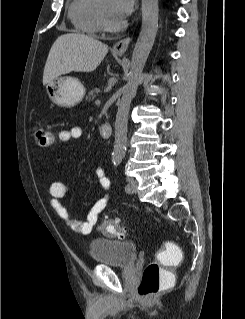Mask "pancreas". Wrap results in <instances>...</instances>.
Segmentation results:
<instances>
[{"label": "pancreas", "mask_w": 245, "mask_h": 319, "mask_svg": "<svg viewBox=\"0 0 245 319\" xmlns=\"http://www.w3.org/2000/svg\"><path fill=\"white\" fill-rule=\"evenodd\" d=\"M100 89L99 88H94L92 90L89 91L88 95L86 96L87 100H94L97 95L99 94Z\"/></svg>", "instance_id": "cf45deb5"}]
</instances>
